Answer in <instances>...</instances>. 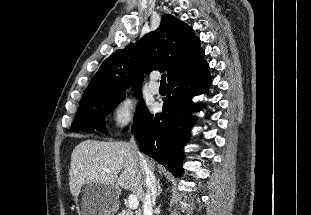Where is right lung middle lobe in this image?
<instances>
[{
    "label": "right lung middle lobe",
    "instance_id": "right-lung-middle-lobe-1",
    "mask_svg": "<svg viewBox=\"0 0 311 215\" xmlns=\"http://www.w3.org/2000/svg\"><path fill=\"white\" fill-rule=\"evenodd\" d=\"M134 94L138 98L142 96L140 91H137ZM124 99L125 93L100 96L80 103L76 118L71 126V131L97 129L105 133V116L110 114V112L113 111ZM147 112L148 109L146 108L145 103H139L134 116V123L138 122Z\"/></svg>",
    "mask_w": 311,
    "mask_h": 215
}]
</instances>
